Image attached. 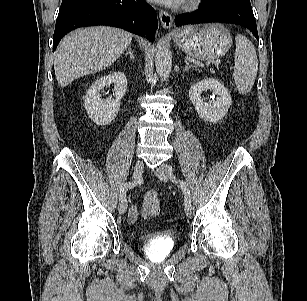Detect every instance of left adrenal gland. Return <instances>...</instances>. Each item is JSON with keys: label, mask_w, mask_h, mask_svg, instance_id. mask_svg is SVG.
Instances as JSON below:
<instances>
[{"label": "left adrenal gland", "mask_w": 307, "mask_h": 301, "mask_svg": "<svg viewBox=\"0 0 307 301\" xmlns=\"http://www.w3.org/2000/svg\"><path fill=\"white\" fill-rule=\"evenodd\" d=\"M184 62H185L184 71H188L191 67H195L194 65H189V62L187 60H185Z\"/></svg>", "instance_id": "obj_1"}]
</instances>
